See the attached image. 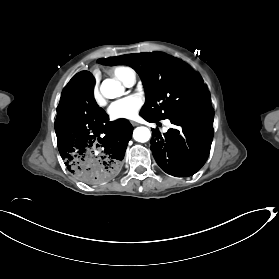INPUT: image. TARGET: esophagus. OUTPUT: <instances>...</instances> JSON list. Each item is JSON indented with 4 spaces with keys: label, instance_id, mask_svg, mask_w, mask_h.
<instances>
[{
    "label": "esophagus",
    "instance_id": "obj_1",
    "mask_svg": "<svg viewBox=\"0 0 279 279\" xmlns=\"http://www.w3.org/2000/svg\"><path fill=\"white\" fill-rule=\"evenodd\" d=\"M131 124H132L133 126H137V125H138V123L135 122V121H131Z\"/></svg>",
    "mask_w": 279,
    "mask_h": 279
}]
</instances>
